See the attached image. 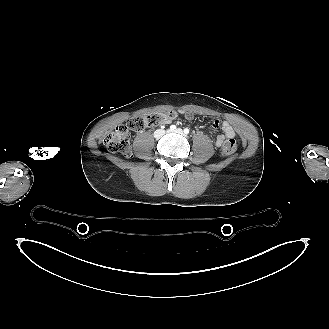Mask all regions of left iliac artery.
<instances>
[{
	"label": "left iliac artery",
	"mask_w": 329,
	"mask_h": 329,
	"mask_svg": "<svg viewBox=\"0 0 329 329\" xmlns=\"http://www.w3.org/2000/svg\"><path fill=\"white\" fill-rule=\"evenodd\" d=\"M184 133H185V134H189V129H188V128H185V129H184Z\"/></svg>",
	"instance_id": "obj_1"
}]
</instances>
